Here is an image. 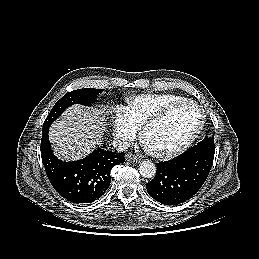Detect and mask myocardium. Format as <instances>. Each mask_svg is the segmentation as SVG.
I'll return each instance as SVG.
<instances>
[{
  "instance_id": "myocardium-1",
  "label": "myocardium",
  "mask_w": 259,
  "mask_h": 259,
  "mask_svg": "<svg viewBox=\"0 0 259 259\" xmlns=\"http://www.w3.org/2000/svg\"><path fill=\"white\" fill-rule=\"evenodd\" d=\"M185 105L194 106L199 111V114H200L199 123H198L196 129L193 131V133L188 138H186L184 141L180 142L179 144H177L175 146L169 147V148L155 149V148L150 147L147 144V133H148L149 129L152 126H154L155 124L162 121L164 118H166L172 111H174L175 109H177L179 107L185 106ZM204 124H205V113H204V110L202 109V107L195 101L185 99L182 101L174 102V103L164 107L159 112H157L155 115H153L151 118H149L142 125L141 140L144 143L147 150L149 151V153L152 154L153 156L158 157V158H163V159L172 158V157L179 155L186 149H188L195 142V140L198 138V136L202 132Z\"/></svg>"
}]
</instances>
